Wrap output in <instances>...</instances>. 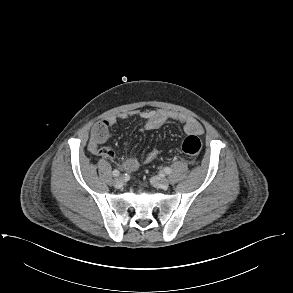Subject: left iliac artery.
<instances>
[{"label": "left iliac artery", "mask_w": 293, "mask_h": 293, "mask_svg": "<svg viewBox=\"0 0 293 293\" xmlns=\"http://www.w3.org/2000/svg\"><path fill=\"white\" fill-rule=\"evenodd\" d=\"M164 172L169 175L171 174L172 170L169 167L164 168Z\"/></svg>", "instance_id": "1"}]
</instances>
